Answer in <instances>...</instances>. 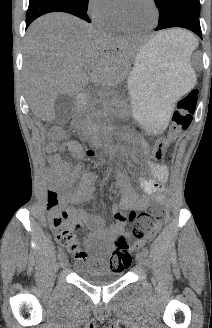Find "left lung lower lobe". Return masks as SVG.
Segmentation results:
<instances>
[{
    "label": "left lung lower lobe",
    "mask_w": 212,
    "mask_h": 328,
    "mask_svg": "<svg viewBox=\"0 0 212 328\" xmlns=\"http://www.w3.org/2000/svg\"><path fill=\"white\" fill-rule=\"evenodd\" d=\"M171 27H182L189 29L202 38L199 16L183 7H176L167 15L163 21H159L156 30Z\"/></svg>",
    "instance_id": "0a47b994"
}]
</instances>
